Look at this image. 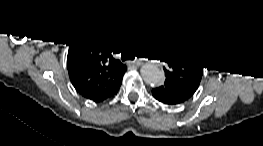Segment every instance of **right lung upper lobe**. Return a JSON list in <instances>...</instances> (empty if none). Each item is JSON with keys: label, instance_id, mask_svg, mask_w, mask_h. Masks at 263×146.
Masks as SVG:
<instances>
[{"label": "right lung upper lobe", "instance_id": "1", "mask_svg": "<svg viewBox=\"0 0 263 146\" xmlns=\"http://www.w3.org/2000/svg\"><path fill=\"white\" fill-rule=\"evenodd\" d=\"M114 48L104 42L94 27L82 28L70 41L67 68L76 91L95 102L119 89L126 66L112 57Z\"/></svg>", "mask_w": 263, "mask_h": 146}]
</instances>
